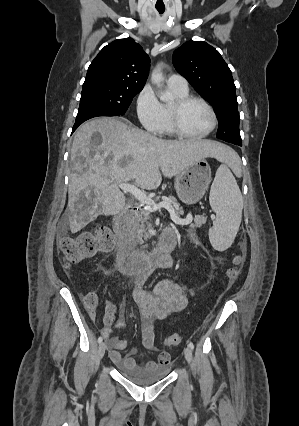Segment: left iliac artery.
I'll use <instances>...</instances> for the list:
<instances>
[{
	"instance_id": "obj_1",
	"label": "left iliac artery",
	"mask_w": 299,
	"mask_h": 426,
	"mask_svg": "<svg viewBox=\"0 0 299 426\" xmlns=\"http://www.w3.org/2000/svg\"><path fill=\"white\" fill-rule=\"evenodd\" d=\"M188 346L193 350L194 349V344L190 341L189 343H188Z\"/></svg>"
}]
</instances>
